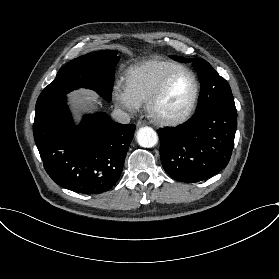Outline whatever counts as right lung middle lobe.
Wrapping results in <instances>:
<instances>
[{"label":"right lung middle lobe","instance_id":"1","mask_svg":"<svg viewBox=\"0 0 279 279\" xmlns=\"http://www.w3.org/2000/svg\"><path fill=\"white\" fill-rule=\"evenodd\" d=\"M119 61L112 50L92 52L80 56L63 66L56 78L42 91L36 109L80 87L95 90L111 101L115 66Z\"/></svg>","mask_w":279,"mask_h":279}]
</instances>
